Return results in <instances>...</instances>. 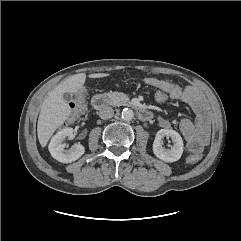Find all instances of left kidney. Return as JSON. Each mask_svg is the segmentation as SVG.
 Returning a JSON list of instances; mask_svg holds the SVG:
<instances>
[{
    "label": "left kidney",
    "mask_w": 241,
    "mask_h": 241,
    "mask_svg": "<svg viewBox=\"0 0 241 241\" xmlns=\"http://www.w3.org/2000/svg\"><path fill=\"white\" fill-rule=\"evenodd\" d=\"M164 137H170L173 146L170 149H165L162 146ZM153 152L157 158L165 162H175L179 160L183 153V140L178 132L172 129H161L157 132L153 142Z\"/></svg>",
    "instance_id": "1"
}]
</instances>
